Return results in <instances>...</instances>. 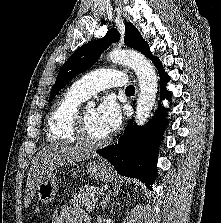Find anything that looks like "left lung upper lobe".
I'll use <instances>...</instances> for the list:
<instances>
[{"label": "left lung upper lobe", "mask_w": 221, "mask_h": 223, "mask_svg": "<svg viewBox=\"0 0 221 223\" xmlns=\"http://www.w3.org/2000/svg\"><path fill=\"white\" fill-rule=\"evenodd\" d=\"M119 38L120 34L118 31L112 28L107 32L104 38L91 41L77 49L61 67L56 82L52 87L49 101H51L72 78L93 66L101 53L111 45V43L117 42ZM125 44L141 51L146 57L152 59L153 62L157 59V57L152 56L147 42H145L138 30L130 22L125 23Z\"/></svg>", "instance_id": "obj_1"}]
</instances>
